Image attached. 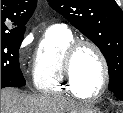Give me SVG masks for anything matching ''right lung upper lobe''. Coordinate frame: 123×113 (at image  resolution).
<instances>
[{"label": "right lung upper lobe", "mask_w": 123, "mask_h": 113, "mask_svg": "<svg viewBox=\"0 0 123 113\" xmlns=\"http://www.w3.org/2000/svg\"><path fill=\"white\" fill-rule=\"evenodd\" d=\"M37 0H1V37L23 35Z\"/></svg>", "instance_id": "cb5924a9"}]
</instances>
